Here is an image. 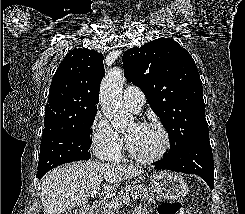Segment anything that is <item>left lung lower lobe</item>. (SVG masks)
I'll return each mask as SVG.
<instances>
[{
	"instance_id": "0a47b994",
	"label": "left lung lower lobe",
	"mask_w": 245,
	"mask_h": 214,
	"mask_svg": "<svg viewBox=\"0 0 245 214\" xmlns=\"http://www.w3.org/2000/svg\"><path fill=\"white\" fill-rule=\"evenodd\" d=\"M154 165L158 170L196 174L202 177L211 189L214 187V161L209 139H198L179 151L164 154Z\"/></svg>"
}]
</instances>
